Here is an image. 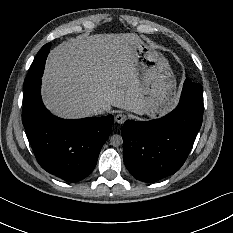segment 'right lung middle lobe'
<instances>
[{"label": "right lung middle lobe", "instance_id": "dd1d6c3e", "mask_svg": "<svg viewBox=\"0 0 233 233\" xmlns=\"http://www.w3.org/2000/svg\"><path fill=\"white\" fill-rule=\"evenodd\" d=\"M49 47L50 44L48 43L44 45L42 49L37 53L33 63L30 66L29 72L24 80V90L42 77L46 60L45 50Z\"/></svg>", "mask_w": 233, "mask_h": 233}]
</instances>
